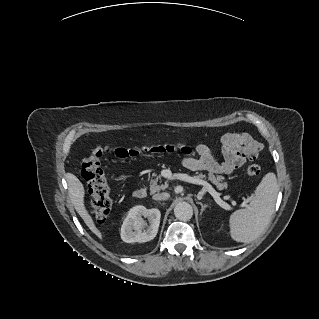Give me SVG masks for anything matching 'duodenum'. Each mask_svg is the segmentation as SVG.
<instances>
[{
	"mask_svg": "<svg viewBox=\"0 0 319 319\" xmlns=\"http://www.w3.org/2000/svg\"><path fill=\"white\" fill-rule=\"evenodd\" d=\"M146 196H147V191L143 188L136 189L133 192V197L138 200L144 199Z\"/></svg>",
	"mask_w": 319,
	"mask_h": 319,
	"instance_id": "410a0bca",
	"label": "duodenum"
}]
</instances>
